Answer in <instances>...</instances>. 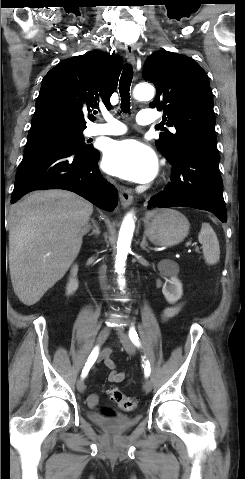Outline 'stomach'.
Instances as JSON below:
<instances>
[{
    "label": "stomach",
    "mask_w": 245,
    "mask_h": 479,
    "mask_svg": "<svg viewBox=\"0 0 245 479\" xmlns=\"http://www.w3.org/2000/svg\"><path fill=\"white\" fill-rule=\"evenodd\" d=\"M188 219L173 209L153 212L145 224V235L155 245L174 246L182 242L189 233Z\"/></svg>",
    "instance_id": "1"
}]
</instances>
